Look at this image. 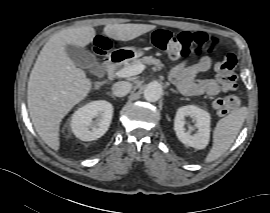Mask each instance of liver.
Wrapping results in <instances>:
<instances>
[{
    "mask_svg": "<svg viewBox=\"0 0 270 213\" xmlns=\"http://www.w3.org/2000/svg\"><path fill=\"white\" fill-rule=\"evenodd\" d=\"M155 28L148 24H108L104 33L115 40L129 41ZM94 37L92 26L67 28L54 34L31 71L27 89L30 118L38 135L53 150L60 147L62 119L92 89V81L68 57L65 46L85 47Z\"/></svg>",
    "mask_w": 270,
    "mask_h": 213,
    "instance_id": "1",
    "label": "liver"
}]
</instances>
